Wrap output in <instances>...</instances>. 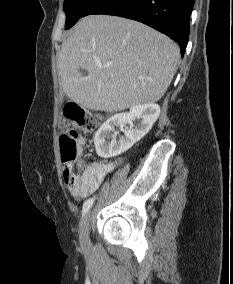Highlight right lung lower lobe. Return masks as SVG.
<instances>
[{"mask_svg": "<svg viewBox=\"0 0 233 284\" xmlns=\"http://www.w3.org/2000/svg\"><path fill=\"white\" fill-rule=\"evenodd\" d=\"M195 0H107L91 14L116 15L147 24L178 42L185 53Z\"/></svg>", "mask_w": 233, "mask_h": 284, "instance_id": "98d812e1", "label": "right lung lower lobe"}]
</instances>
